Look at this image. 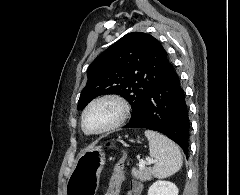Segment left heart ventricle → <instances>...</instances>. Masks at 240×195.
I'll list each match as a JSON object with an SVG mask.
<instances>
[{
  "instance_id": "left-heart-ventricle-1",
  "label": "left heart ventricle",
  "mask_w": 240,
  "mask_h": 195,
  "mask_svg": "<svg viewBox=\"0 0 240 195\" xmlns=\"http://www.w3.org/2000/svg\"><path fill=\"white\" fill-rule=\"evenodd\" d=\"M117 110L113 105L105 104L93 108L86 117V128L98 130L110 123L116 116Z\"/></svg>"
}]
</instances>
